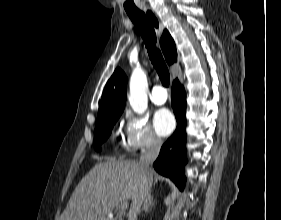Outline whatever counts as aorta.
Wrapping results in <instances>:
<instances>
[{"label": "aorta", "instance_id": "aorta-1", "mask_svg": "<svg viewBox=\"0 0 281 220\" xmlns=\"http://www.w3.org/2000/svg\"><path fill=\"white\" fill-rule=\"evenodd\" d=\"M148 84L147 77L144 71L137 67L130 78V94L128 97L132 109L143 114L148 107Z\"/></svg>", "mask_w": 281, "mask_h": 220}]
</instances>
